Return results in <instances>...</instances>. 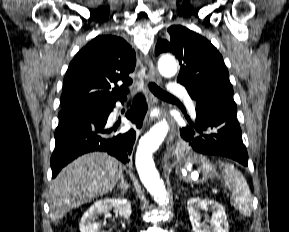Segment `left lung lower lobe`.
I'll return each instance as SVG.
<instances>
[{"instance_id":"0a47b994","label":"left lung lower lobe","mask_w":289,"mask_h":232,"mask_svg":"<svg viewBox=\"0 0 289 232\" xmlns=\"http://www.w3.org/2000/svg\"><path fill=\"white\" fill-rule=\"evenodd\" d=\"M188 152L228 157L248 165L247 150L236 115L221 107L196 103V120L181 129Z\"/></svg>"}]
</instances>
